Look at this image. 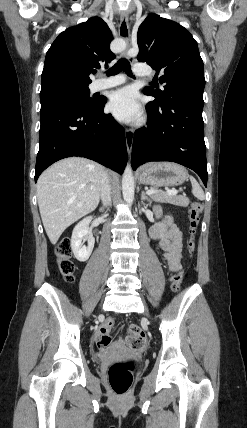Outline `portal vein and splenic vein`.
<instances>
[{
    "label": "portal vein and splenic vein",
    "mask_w": 247,
    "mask_h": 428,
    "mask_svg": "<svg viewBox=\"0 0 247 428\" xmlns=\"http://www.w3.org/2000/svg\"><path fill=\"white\" fill-rule=\"evenodd\" d=\"M146 193H147L148 195H152V194L156 193V191H155V190L150 189V190H147V191H146ZM177 193H178V191H177V190H175V189L167 190V191H166V194H168V195H176Z\"/></svg>",
    "instance_id": "1"
}]
</instances>
